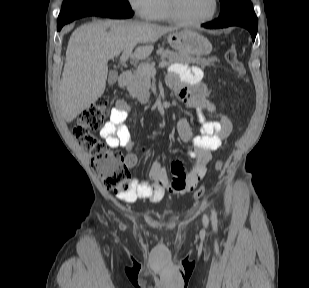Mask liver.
Segmentation results:
<instances>
[{"label":"liver","mask_w":309,"mask_h":288,"mask_svg":"<svg viewBox=\"0 0 309 288\" xmlns=\"http://www.w3.org/2000/svg\"><path fill=\"white\" fill-rule=\"evenodd\" d=\"M175 29L123 20L94 21L78 27L69 39L58 90L59 109L66 122H72L102 96L110 59L137 44L144 45L135 49L134 56L144 59L152 53L153 43Z\"/></svg>","instance_id":"6515ba94"}]
</instances>
